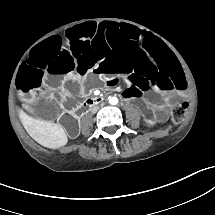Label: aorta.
Masks as SVG:
<instances>
[{
    "mask_svg": "<svg viewBox=\"0 0 215 215\" xmlns=\"http://www.w3.org/2000/svg\"><path fill=\"white\" fill-rule=\"evenodd\" d=\"M109 103H110L111 105H116V104H118V98H117V97H111V98L109 99Z\"/></svg>",
    "mask_w": 215,
    "mask_h": 215,
    "instance_id": "1",
    "label": "aorta"
}]
</instances>
